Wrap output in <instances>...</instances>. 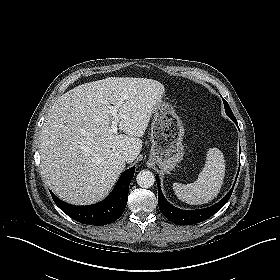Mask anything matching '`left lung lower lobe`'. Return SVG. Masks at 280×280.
Listing matches in <instances>:
<instances>
[{"label":"left lung lower lobe","instance_id":"obj_1","mask_svg":"<svg viewBox=\"0 0 280 280\" xmlns=\"http://www.w3.org/2000/svg\"><path fill=\"white\" fill-rule=\"evenodd\" d=\"M237 124V122H235ZM238 126V124H237ZM240 169V168H239ZM239 173V171H238ZM238 176V175H237ZM237 180V178H236ZM156 181L158 184V204L161 213L169 219L171 222H173L176 225H191L195 223L202 222L211 216H213L216 212H218L229 200L231 197L233 188L227 193V195L217 204L214 206H211L206 209L201 210H181L174 206H172L170 203H168L159 187V180L156 177Z\"/></svg>","mask_w":280,"mask_h":280}]
</instances>
